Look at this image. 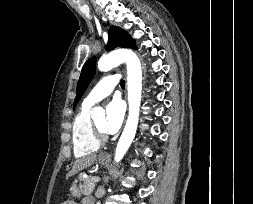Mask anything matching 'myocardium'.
Instances as JSON below:
<instances>
[{"instance_id":"1","label":"myocardium","mask_w":253,"mask_h":204,"mask_svg":"<svg viewBox=\"0 0 253 204\" xmlns=\"http://www.w3.org/2000/svg\"><path fill=\"white\" fill-rule=\"evenodd\" d=\"M93 134L96 140L101 144L107 141V135L105 131L100 130L95 122H92Z\"/></svg>"}]
</instances>
